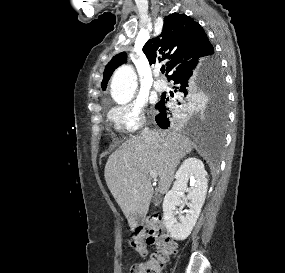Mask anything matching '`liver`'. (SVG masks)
<instances>
[{
  "label": "liver",
  "mask_w": 285,
  "mask_h": 273,
  "mask_svg": "<svg viewBox=\"0 0 285 273\" xmlns=\"http://www.w3.org/2000/svg\"><path fill=\"white\" fill-rule=\"evenodd\" d=\"M193 147V142L181 133L160 130L128 139L109 156L104 170L106 184L132 231L139 217L149 210L153 195L149 172H157L159 192L165 194L180 160Z\"/></svg>",
  "instance_id": "liver-1"
}]
</instances>
